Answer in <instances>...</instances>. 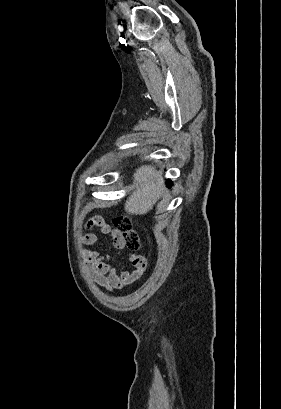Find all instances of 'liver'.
Segmentation results:
<instances>
[{
    "mask_svg": "<svg viewBox=\"0 0 281 409\" xmlns=\"http://www.w3.org/2000/svg\"><path fill=\"white\" fill-rule=\"evenodd\" d=\"M134 182H138L136 190L128 196L125 211L129 215H146L159 200L165 186L155 166H139L134 174Z\"/></svg>",
    "mask_w": 281,
    "mask_h": 409,
    "instance_id": "6515ba94",
    "label": "liver"
}]
</instances>
